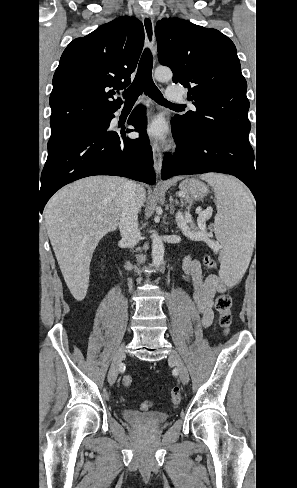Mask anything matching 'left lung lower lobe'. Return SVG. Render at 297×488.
<instances>
[{"instance_id": "0a47b994", "label": "left lung lower lobe", "mask_w": 297, "mask_h": 488, "mask_svg": "<svg viewBox=\"0 0 297 488\" xmlns=\"http://www.w3.org/2000/svg\"><path fill=\"white\" fill-rule=\"evenodd\" d=\"M176 143L174 155L166 154L162 180L183 174L219 172L233 175L245 183L257 202V168L250 144L214 134H185L172 119Z\"/></svg>"}]
</instances>
